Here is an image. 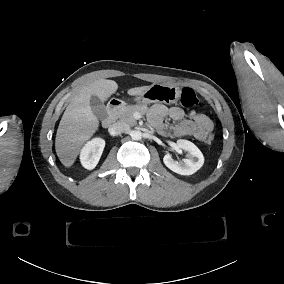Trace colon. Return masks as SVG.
I'll list each match as a JSON object with an SVG mask.
<instances>
[{
	"instance_id": "colon-1",
	"label": "colon",
	"mask_w": 284,
	"mask_h": 284,
	"mask_svg": "<svg viewBox=\"0 0 284 284\" xmlns=\"http://www.w3.org/2000/svg\"><path fill=\"white\" fill-rule=\"evenodd\" d=\"M180 95H181V99L183 101V104L185 106L193 107L198 102L197 97L195 95H193L192 90L188 87L183 88L180 92ZM213 141H214L213 135L207 136L206 143H212Z\"/></svg>"
}]
</instances>
